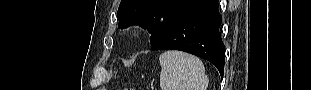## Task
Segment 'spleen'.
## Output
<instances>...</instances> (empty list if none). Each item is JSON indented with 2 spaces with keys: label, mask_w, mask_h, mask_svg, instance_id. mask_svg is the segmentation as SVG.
I'll list each match as a JSON object with an SVG mask.
<instances>
[{
  "label": "spleen",
  "mask_w": 311,
  "mask_h": 90,
  "mask_svg": "<svg viewBox=\"0 0 311 90\" xmlns=\"http://www.w3.org/2000/svg\"><path fill=\"white\" fill-rule=\"evenodd\" d=\"M161 90H207L209 79L202 61L181 51H166L159 57Z\"/></svg>",
  "instance_id": "spleen-1"
}]
</instances>
